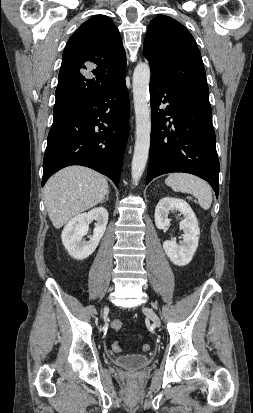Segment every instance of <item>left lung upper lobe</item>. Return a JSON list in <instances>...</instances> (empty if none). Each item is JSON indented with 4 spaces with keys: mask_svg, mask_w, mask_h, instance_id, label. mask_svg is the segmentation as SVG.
Here are the masks:
<instances>
[{
    "mask_svg": "<svg viewBox=\"0 0 253 413\" xmlns=\"http://www.w3.org/2000/svg\"><path fill=\"white\" fill-rule=\"evenodd\" d=\"M143 55L150 63L152 75L211 108L200 51L182 24L165 15L155 17L147 30Z\"/></svg>",
    "mask_w": 253,
    "mask_h": 413,
    "instance_id": "5c2ea615",
    "label": "left lung upper lobe"
}]
</instances>
